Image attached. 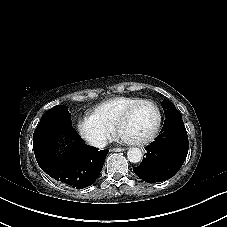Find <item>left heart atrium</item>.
<instances>
[{"mask_svg":"<svg viewBox=\"0 0 227 227\" xmlns=\"http://www.w3.org/2000/svg\"><path fill=\"white\" fill-rule=\"evenodd\" d=\"M119 139L122 142L129 143V144H138L139 143V140H138L137 137L132 136V135L127 134V133L120 134Z\"/></svg>","mask_w":227,"mask_h":227,"instance_id":"1","label":"left heart atrium"}]
</instances>
